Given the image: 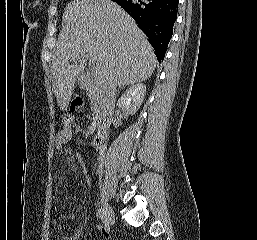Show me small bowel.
<instances>
[{
  "label": "small bowel",
  "mask_w": 257,
  "mask_h": 240,
  "mask_svg": "<svg viewBox=\"0 0 257 240\" xmlns=\"http://www.w3.org/2000/svg\"><path fill=\"white\" fill-rule=\"evenodd\" d=\"M72 138L71 127L65 125L56 135L55 145L58 151H62L64 145Z\"/></svg>",
  "instance_id": "small-bowel-1"
}]
</instances>
